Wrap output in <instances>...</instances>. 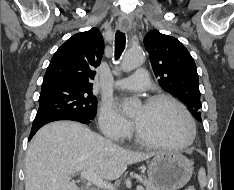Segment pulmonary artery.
Masks as SVG:
<instances>
[{"label": "pulmonary artery", "instance_id": "pulmonary-artery-1", "mask_svg": "<svg viewBox=\"0 0 234 190\" xmlns=\"http://www.w3.org/2000/svg\"><path fill=\"white\" fill-rule=\"evenodd\" d=\"M150 84L147 70L143 67L139 68L135 75L118 79L115 81V87L127 90L141 91L145 90Z\"/></svg>", "mask_w": 234, "mask_h": 190}]
</instances>
